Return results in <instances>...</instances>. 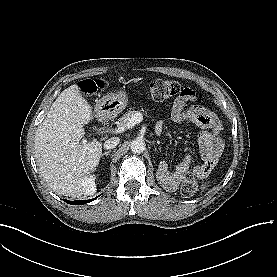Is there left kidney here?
Wrapping results in <instances>:
<instances>
[{"label":"left kidney","mask_w":277,"mask_h":277,"mask_svg":"<svg viewBox=\"0 0 277 277\" xmlns=\"http://www.w3.org/2000/svg\"><path fill=\"white\" fill-rule=\"evenodd\" d=\"M167 163L165 161H161L158 166V170L156 173L157 179L162 183L165 187L172 188L178 183L177 181L182 178L181 173L170 174L167 170Z\"/></svg>","instance_id":"left-kidney-1"}]
</instances>
